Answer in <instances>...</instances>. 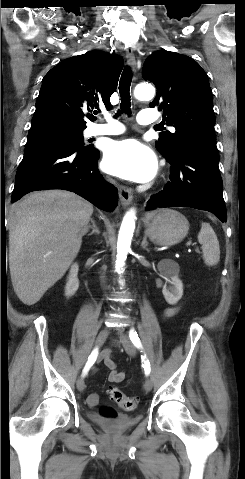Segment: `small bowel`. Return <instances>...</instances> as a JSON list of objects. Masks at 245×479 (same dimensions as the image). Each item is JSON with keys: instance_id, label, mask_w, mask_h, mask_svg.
Listing matches in <instances>:
<instances>
[{"instance_id": "obj_1", "label": "small bowel", "mask_w": 245, "mask_h": 479, "mask_svg": "<svg viewBox=\"0 0 245 479\" xmlns=\"http://www.w3.org/2000/svg\"><path fill=\"white\" fill-rule=\"evenodd\" d=\"M177 312V308H168L164 311L165 317H171ZM100 360L111 370L108 380L112 383H120L125 379V373L117 369L116 363L111 358V353L105 350L101 353ZM87 402L90 406H95L98 403V396L96 394H90L87 398Z\"/></svg>"}]
</instances>
